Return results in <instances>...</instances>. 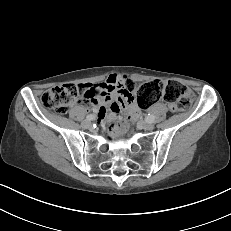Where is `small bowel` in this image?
<instances>
[{
    "mask_svg": "<svg viewBox=\"0 0 231 231\" xmlns=\"http://www.w3.org/2000/svg\"><path fill=\"white\" fill-rule=\"evenodd\" d=\"M126 78L122 75L112 74L99 84H81L88 89L89 95L85 102L98 107V114L105 117L117 115L121 109L138 111L131 93L124 89ZM108 106V110L106 109Z\"/></svg>",
    "mask_w": 231,
    "mask_h": 231,
    "instance_id": "small-bowel-1",
    "label": "small bowel"
}]
</instances>
